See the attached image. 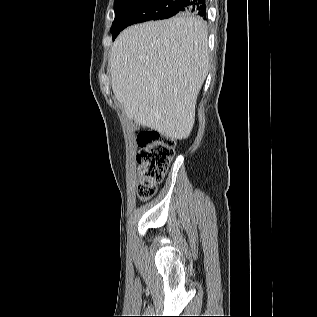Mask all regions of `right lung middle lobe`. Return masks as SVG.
Instances as JSON below:
<instances>
[{"instance_id": "obj_1", "label": "right lung middle lobe", "mask_w": 317, "mask_h": 317, "mask_svg": "<svg viewBox=\"0 0 317 317\" xmlns=\"http://www.w3.org/2000/svg\"><path fill=\"white\" fill-rule=\"evenodd\" d=\"M177 0H115V19L111 32L113 40L127 26L148 20L166 19L179 13L191 17L193 13L180 12Z\"/></svg>"}]
</instances>
